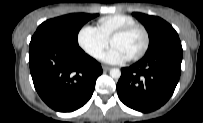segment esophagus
Masks as SVG:
<instances>
[{
	"label": "esophagus",
	"mask_w": 203,
	"mask_h": 123,
	"mask_svg": "<svg viewBox=\"0 0 203 123\" xmlns=\"http://www.w3.org/2000/svg\"><path fill=\"white\" fill-rule=\"evenodd\" d=\"M102 68L104 71H109L111 69V67H109V66H103Z\"/></svg>",
	"instance_id": "obj_1"
}]
</instances>
